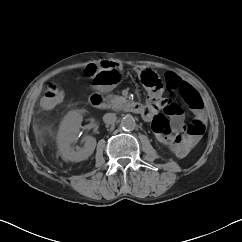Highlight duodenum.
<instances>
[{
	"label": "duodenum",
	"instance_id": "duodenum-1",
	"mask_svg": "<svg viewBox=\"0 0 242 242\" xmlns=\"http://www.w3.org/2000/svg\"><path fill=\"white\" fill-rule=\"evenodd\" d=\"M91 105L98 109H106L109 106V102L106 97L100 91H95L89 97ZM124 109L139 115H143L145 107L140 103H128L124 104Z\"/></svg>",
	"mask_w": 242,
	"mask_h": 242
}]
</instances>
